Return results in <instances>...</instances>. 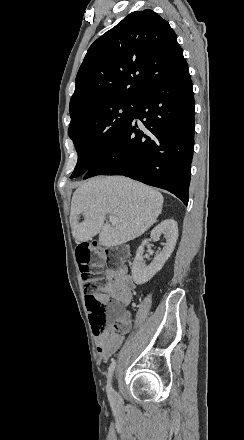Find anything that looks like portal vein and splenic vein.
Returning <instances> with one entry per match:
<instances>
[{
	"label": "portal vein and splenic vein",
	"instance_id": "portal-vein-and-splenic-vein-1",
	"mask_svg": "<svg viewBox=\"0 0 244 440\" xmlns=\"http://www.w3.org/2000/svg\"><path fill=\"white\" fill-rule=\"evenodd\" d=\"M109 220H110L112 226H115V224H118V222H119L117 216H109Z\"/></svg>",
	"mask_w": 244,
	"mask_h": 440
}]
</instances>
